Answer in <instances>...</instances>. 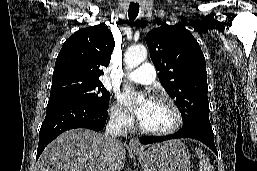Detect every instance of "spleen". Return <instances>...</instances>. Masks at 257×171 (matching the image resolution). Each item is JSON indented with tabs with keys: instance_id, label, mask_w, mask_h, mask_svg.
Masks as SVG:
<instances>
[{
	"instance_id": "spleen-1",
	"label": "spleen",
	"mask_w": 257,
	"mask_h": 171,
	"mask_svg": "<svg viewBox=\"0 0 257 171\" xmlns=\"http://www.w3.org/2000/svg\"><path fill=\"white\" fill-rule=\"evenodd\" d=\"M196 153L200 159L199 171H215L213 165L210 163L209 158L199 148H196Z\"/></svg>"
}]
</instances>
